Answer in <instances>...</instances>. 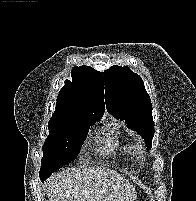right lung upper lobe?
I'll return each instance as SVG.
<instances>
[{"instance_id":"right-lung-upper-lobe-1","label":"right lung upper lobe","mask_w":196,"mask_h":201,"mask_svg":"<svg viewBox=\"0 0 196 201\" xmlns=\"http://www.w3.org/2000/svg\"><path fill=\"white\" fill-rule=\"evenodd\" d=\"M71 73L72 82L65 80L52 118L67 113L101 117L105 109L103 74L85 65L73 67Z\"/></svg>"}]
</instances>
